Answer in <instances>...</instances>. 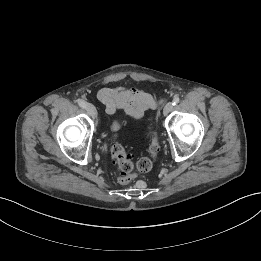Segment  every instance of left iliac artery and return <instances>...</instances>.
I'll use <instances>...</instances> for the list:
<instances>
[{"instance_id":"left-iliac-artery-1","label":"left iliac artery","mask_w":261,"mask_h":261,"mask_svg":"<svg viewBox=\"0 0 261 261\" xmlns=\"http://www.w3.org/2000/svg\"><path fill=\"white\" fill-rule=\"evenodd\" d=\"M179 101H180V98L179 97H174L173 98V105H176V104H178L179 103Z\"/></svg>"}]
</instances>
